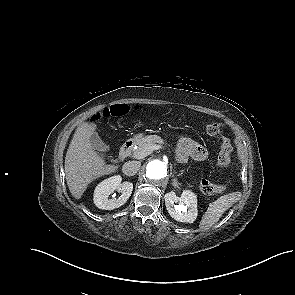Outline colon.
<instances>
[{
    "label": "colon",
    "instance_id": "1",
    "mask_svg": "<svg viewBox=\"0 0 295 295\" xmlns=\"http://www.w3.org/2000/svg\"><path fill=\"white\" fill-rule=\"evenodd\" d=\"M130 111V106L127 104H115L106 108L101 113L93 116V119L98 120L102 117H120L126 115ZM207 133L215 138L219 145V153L217 157V164L220 168H226L231 162L232 147L226 135L225 129L218 123H209L206 127ZM201 191L206 195H213L220 193L225 189L224 185L215 184L208 180H202L200 183Z\"/></svg>",
    "mask_w": 295,
    "mask_h": 295
}]
</instances>
